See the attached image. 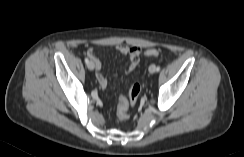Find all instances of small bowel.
Segmentation results:
<instances>
[{
    "label": "small bowel",
    "instance_id": "obj_1",
    "mask_svg": "<svg viewBox=\"0 0 244 157\" xmlns=\"http://www.w3.org/2000/svg\"><path fill=\"white\" fill-rule=\"evenodd\" d=\"M115 49L121 54L129 55L130 57L129 63L126 66V68L122 71V73L130 74L140 62L141 49L139 47L129 46L127 44H118L115 47ZM86 54L90 58V60L94 63L97 81L102 87H106L107 79L101 72L102 63L100 59L97 57L95 49L94 48L88 49L86 51Z\"/></svg>",
    "mask_w": 244,
    "mask_h": 157
}]
</instances>
